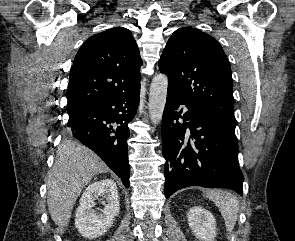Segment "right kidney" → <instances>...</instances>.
Wrapping results in <instances>:
<instances>
[{"instance_id":"1","label":"right kidney","mask_w":295,"mask_h":241,"mask_svg":"<svg viewBox=\"0 0 295 241\" xmlns=\"http://www.w3.org/2000/svg\"><path fill=\"white\" fill-rule=\"evenodd\" d=\"M99 197L104 209L101 213L93 210ZM120 211L117 185L112 179H103L90 184L83 192L80 205L76 210L75 227L85 238L104 235L112 226Z\"/></svg>"}]
</instances>
